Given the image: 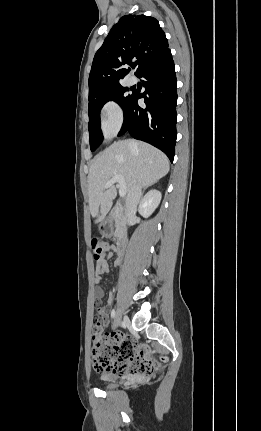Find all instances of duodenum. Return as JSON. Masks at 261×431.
Wrapping results in <instances>:
<instances>
[{"label": "duodenum", "mask_w": 261, "mask_h": 431, "mask_svg": "<svg viewBox=\"0 0 261 431\" xmlns=\"http://www.w3.org/2000/svg\"><path fill=\"white\" fill-rule=\"evenodd\" d=\"M109 223V221H107V224ZM108 225H107V227H106V230H108ZM126 247H127V238H126V236L125 235H121L120 237H119V241H118V245H117V247H116V250H117V252H118V254H119V260H121V258H122V255H123V253H124V251H125V249H126Z\"/></svg>", "instance_id": "obj_1"}]
</instances>
